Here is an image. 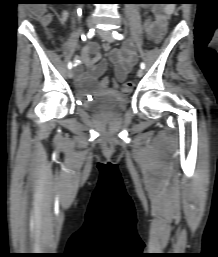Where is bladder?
I'll use <instances>...</instances> for the list:
<instances>
[{"label": "bladder", "instance_id": "1", "mask_svg": "<svg viewBox=\"0 0 218 257\" xmlns=\"http://www.w3.org/2000/svg\"><path fill=\"white\" fill-rule=\"evenodd\" d=\"M118 107L123 108L126 103V97H120L116 100Z\"/></svg>", "mask_w": 218, "mask_h": 257}]
</instances>
